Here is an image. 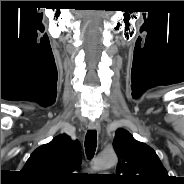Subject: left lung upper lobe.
<instances>
[{
  "label": "left lung upper lobe",
  "instance_id": "obj_1",
  "mask_svg": "<svg viewBox=\"0 0 184 184\" xmlns=\"http://www.w3.org/2000/svg\"><path fill=\"white\" fill-rule=\"evenodd\" d=\"M119 163L114 179L120 184H168L170 177L155 151L124 129L113 141Z\"/></svg>",
  "mask_w": 184,
  "mask_h": 184
}]
</instances>
